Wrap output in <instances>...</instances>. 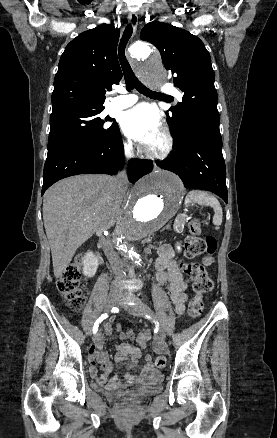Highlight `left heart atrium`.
Here are the masks:
<instances>
[{"label": "left heart atrium", "mask_w": 277, "mask_h": 438, "mask_svg": "<svg viewBox=\"0 0 277 438\" xmlns=\"http://www.w3.org/2000/svg\"><path fill=\"white\" fill-rule=\"evenodd\" d=\"M125 134L135 139L144 150L161 134V120L148 104H141L125 112L121 117Z\"/></svg>", "instance_id": "left-heart-atrium-1"}]
</instances>
